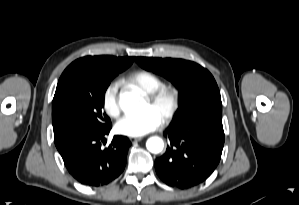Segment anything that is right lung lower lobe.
Instances as JSON below:
<instances>
[{
  "label": "right lung lower lobe",
  "instance_id": "1",
  "mask_svg": "<svg viewBox=\"0 0 299 205\" xmlns=\"http://www.w3.org/2000/svg\"><path fill=\"white\" fill-rule=\"evenodd\" d=\"M111 127L78 135L58 149L69 173L78 182L93 187L103 186L123 172L131 143L127 137L114 136L109 147L103 149L101 145Z\"/></svg>",
  "mask_w": 299,
  "mask_h": 205
}]
</instances>
